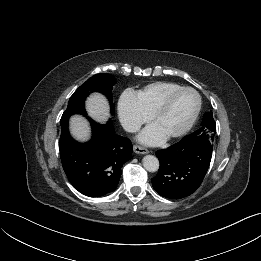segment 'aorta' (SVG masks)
Instances as JSON below:
<instances>
[{
  "label": "aorta",
  "instance_id": "aorta-1",
  "mask_svg": "<svg viewBox=\"0 0 261 261\" xmlns=\"http://www.w3.org/2000/svg\"><path fill=\"white\" fill-rule=\"evenodd\" d=\"M143 166L149 172H156L159 169V160L153 155H146L143 158Z\"/></svg>",
  "mask_w": 261,
  "mask_h": 261
}]
</instances>
